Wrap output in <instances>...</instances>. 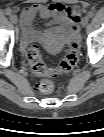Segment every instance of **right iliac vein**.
Segmentation results:
<instances>
[{
	"mask_svg": "<svg viewBox=\"0 0 104 137\" xmlns=\"http://www.w3.org/2000/svg\"><path fill=\"white\" fill-rule=\"evenodd\" d=\"M10 20L14 24L18 23V18H17V16L15 14L10 15Z\"/></svg>",
	"mask_w": 104,
	"mask_h": 137,
	"instance_id": "right-iliac-vein-1",
	"label": "right iliac vein"
}]
</instances>
